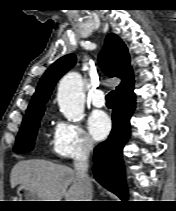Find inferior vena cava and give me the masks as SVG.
I'll use <instances>...</instances> for the list:
<instances>
[{
    "mask_svg": "<svg viewBox=\"0 0 176 211\" xmlns=\"http://www.w3.org/2000/svg\"><path fill=\"white\" fill-rule=\"evenodd\" d=\"M93 150L91 142H85L74 160V170L84 191L83 201H92V185L88 176L89 154Z\"/></svg>",
    "mask_w": 176,
    "mask_h": 211,
    "instance_id": "obj_1",
    "label": "inferior vena cava"
}]
</instances>
